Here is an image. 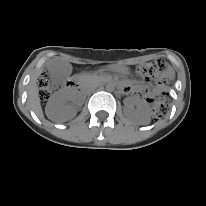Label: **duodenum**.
<instances>
[{
  "label": "duodenum",
  "instance_id": "1",
  "mask_svg": "<svg viewBox=\"0 0 206 206\" xmlns=\"http://www.w3.org/2000/svg\"><path fill=\"white\" fill-rule=\"evenodd\" d=\"M65 86L66 87H70V88H78L79 87V83L76 80L72 79V80L67 81L65 83Z\"/></svg>",
  "mask_w": 206,
  "mask_h": 206
}]
</instances>
